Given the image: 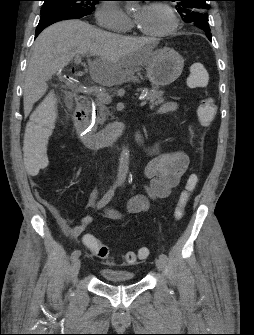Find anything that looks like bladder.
Returning a JSON list of instances; mask_svg holds the SVG:
<instances>
[{
    "label": "bladder",
    "instance_id": "1",
    "mask_svg": "<svg viewBox=\"0 0 254 335\" xmlns=\"http://www.w3.org/2000/svg\"><path fill=\"white\" fill-rule=\"evenodd\" d=\"M100 274L109 283H129L135 280L133 272L117 268H102Z\"/></svg>",
    "mask_w": 254,
    "mask_h": 335
}]
</instances>
